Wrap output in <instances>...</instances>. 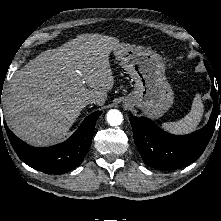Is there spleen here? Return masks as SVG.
Listing matches in <instances>:
<instances>
[{"label": "spleen", "mask_w": 221, "mask_h": 221, "mask_svg": "<svg viewBox=\"0 0 221 221\" xmlns=\"http://www.w3.org/2000/svg\"><path fill=\"white\" fill-rule=\"evenodd\" d=\"M204 113V105L201 97L197 94L193 100L191 111L177 122H166L162 127L173 134H188L193 132L199 125Z\"/></svg>", "instance_id": "obj_1"}]
</instances>
